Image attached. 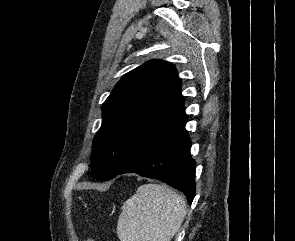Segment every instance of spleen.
<instances>
[{
	"label": "spleen",
	"mask_w": 295,
	"mask_h": 241,
	"mask_svg": "<svg viewBox=\"0 0 295 241\" xmlns=\"http://www.w3.org/2000/svg\"><path fill=\"white\" fill-rule=\"evenodd\" d=\"M186 215L183 197L165 185L144 184L122 207L120 241H170Z\"/></svg>",
	"instance_id": "3e777b00"
}]
</instances>
